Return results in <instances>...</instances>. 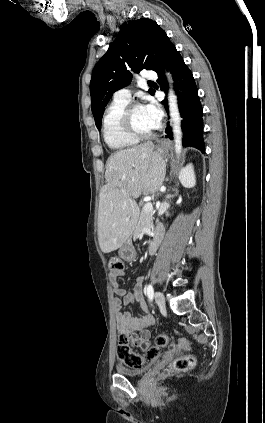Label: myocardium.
Returning <instances> with one entry per match:
<instances>
[{
	"label": "myocardium",
	"instance_id": "obj_1",
	"mask_svg": "<svg viewBox=\"0 0 265 423\" xmlns=\"http://www.w3.org/2000/svg\"><path fill=\"white\" fill-rule=\"evenodd\" d=\"M140 107H142L140 103H130L125 107L120 117L121 127L124 132L137 140L150 138L158 129L157 126L155 129L149 132H140L136 130L131 120V114L135 109Z\"/></svg>",
	"mask_w": 265,
	"mask_h": 423
}]
</instances>
